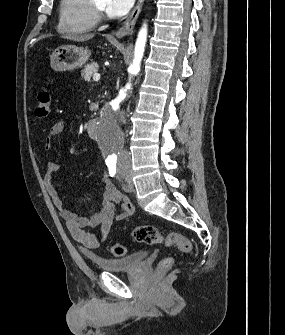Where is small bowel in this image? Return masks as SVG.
Here are the masks:
<instances>
[{
  "mask_svg": "<svg viewBox=\"0 0 285 335\" xmlns=\"http://www.w3.org/2000/svg\"><path fill=\"white\" fill-rule=\"evenodd\" d=\"M65 127V121H58L49 129L44 144L46 151L52 150L54 139L64 132ZM59 167L60 163L57 161H50L47 164L43 178L46 190L73 238L86 249L95 248L107 237L114 222L125 220L134 214V206L124 194L116 189L108 175L104 173L102 174V200L98 210L90 216H80L74 213L64 206L53 183V174ZM95 227L100 229L98 235L86 231L87 228Z\"/></svg>",
  "mask_w": 285,
  "mask_h": 335,
  "instance_id": "small-bowel-1",
  "label": "small bowel"
}]
</instances>
